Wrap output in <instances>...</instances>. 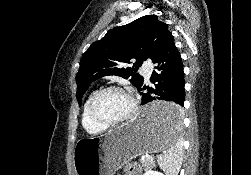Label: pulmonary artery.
Instances as JSON below:
<instances>
[{"label":"pulmonary artery","instance_id":"1","mask_svg":"<svg viewBox=\"0 0 251 175\" xmlns=\"http://www.w3.org/2000/svg\"><path fill=\"white\" fill-rule=\"evenodd\" d=\"M142 79H147L151 76L152 70H154V65L151 62H144L142 65Z\"/></svg>","mask_w":251,"mask_h":175}]
</instances>
